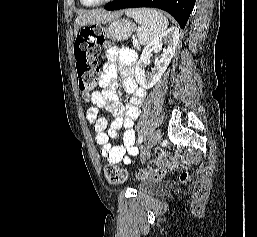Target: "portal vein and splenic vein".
Returning a JSON list of instances; mask_svg holds the SVG:
<instances>
[{
  "label": "portal vein and splenic vein",
  "instance_id": "1",
  "mask_svg": "<svg viewBox=\"0 0 257 237\" xmlns=\"http://www.w3.org/2000/svg\"><path fill=\"white\" fill-rule=\"evenodd\" d=\"M133 45L137 46L138 45V41L136 39H133Z\"/></svg>",
  "mask_w": 257,
  "mask_h": 237
}]
</instances>
